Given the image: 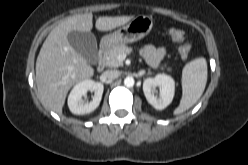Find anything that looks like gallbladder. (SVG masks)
Wrapping results in <instances>:
<instances>
[{"mask_svg": "<svg viewBox=\"0 0 248 165\" xmlns=\"http://www.w3.org/2000/svg\"><path fill=\"white\" fill-rule=\"evenodd\" d=\"M68 41L74 50L82 55L85 60L93 65L98 63V49L96 37L91 32L71 31Z\"/></svg>", "mask_w": 248, "mask_h": 165, "instance_id": "obj_1", "label": "gallbladder"}]
</instances>
